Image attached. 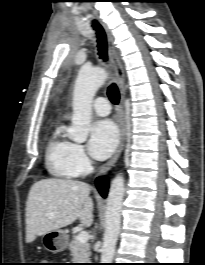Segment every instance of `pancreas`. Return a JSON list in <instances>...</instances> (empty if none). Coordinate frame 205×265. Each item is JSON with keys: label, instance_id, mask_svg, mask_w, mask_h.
Instances as JSON below:
<instances>
[{"label": "pancreas", "instance_id": "cf45deb5", "mask_svg": "<svg viewBox=\"0 0 205 265\" xmlns=\"http://www.w3.org/2000/svg\"><path fill=\"white\" fill-rule=\"evenodd\" d=\"M69 250L74 263H88L90 260V246L88 243H80L75 237L69 243Z\"/></svg>", "mask_w": 205, "mask_h": 265}]
</instances>
